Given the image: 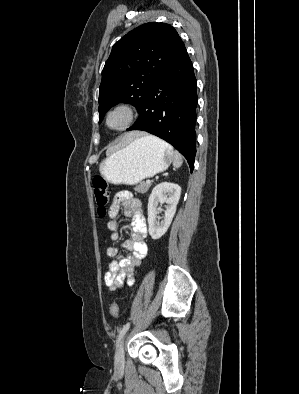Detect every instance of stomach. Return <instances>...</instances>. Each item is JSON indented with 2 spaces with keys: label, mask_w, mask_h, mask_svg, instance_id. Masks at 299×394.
I'll return each mask as SVG.
<instances>
[{
  "label": "stomach",
  "mask_w": 299,
  "mask_h": 394,
  "mask_svg": "<svg viewBox=\"0 0 299 394\" xmlns=\"http://www.w3.org/2000/svg\"><path fill=\"white\" fill-rule=\"evenodd\" d=\"M173 160L170 149L149 136L134 139L101 162L100 173L111 183L136 185L168 168Z\"/></svg>",
  "instance_id": "0dacf381"
}]
</instances>
